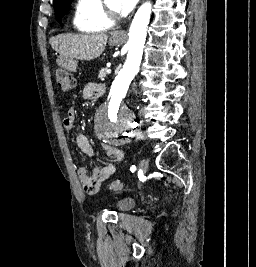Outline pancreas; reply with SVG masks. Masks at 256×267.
Instances as JSON below:
<instances>
[{
    "label": "pancreas",
    "instance_id": "1",
    "mask_svg": "<svg viewBox=\"0 0 256 267\" xmlns=\"http://www.w3.org/2000/svg\"><path fill=\"white\" fill-rule=\"evenodd\" d=\"M106 70H107V68H102L101 74H99L100 78H105V76H106Z\"/></svg>",
    "mask_w": 256,
    "mask_h": 267
}]
</instances>
